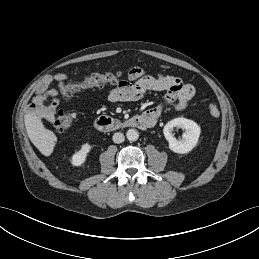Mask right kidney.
Here are the masks:
<instances>
[{
    "instance_id": "1",
    "label": "right kidney",
    "mask_w": 259,
    "mask_h": 259,
    "mask_svg": "<svg viewBox=\"0 0 259 259\" xmlns=\"http://www.w3.org/2000/svg\"><path fill=\"white\" fill-rule=\"evenodd\" d=\"M91 150V146L85 143L81 146L80 150L75 152L71 157V164L73 166H81L85 161L88 153Z\"/></svg>"
}]
</instances>
